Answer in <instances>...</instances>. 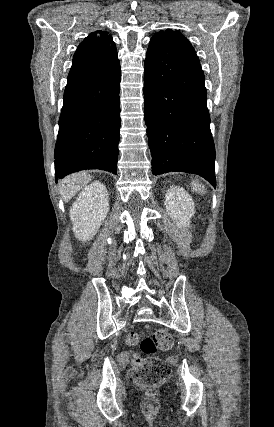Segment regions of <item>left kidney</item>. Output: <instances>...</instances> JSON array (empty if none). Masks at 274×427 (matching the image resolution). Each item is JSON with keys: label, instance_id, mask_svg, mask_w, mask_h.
Segmentation results:
<instances>
[{"label": "left kidney", "instance_id": "left-kidney-1", "mask_svg": "<svg viewBox=\"0 0 274 427\" xmlns=\"http://www.w3.org/2000/svg\"><path fill=\"white\" fill-rule=\"evenodd\" d=\"M164 206L166 212L175 219L179 227H188L190 217L194 214V202L184 188L170 186L165 194Z\"/></svg>", "mask_w": 274, "mask_h": 427}]
</instances>
